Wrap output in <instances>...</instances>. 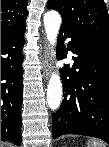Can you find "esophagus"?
Segmentation results:
<instances>
[{
  "mask_svg": "<svg viewBox=\"0 0 109 147\" xmlns=\"http://www.w3.org/2000/svg\"><path fill=\"white\" fill-rule=\"evenodd\" d=\"M51 54H50V46L46 39H44V54L42 59L43 64V76L47 80L49 78V75L51 73Z\"/></svg>",
  "mask_w": 109,
  "mask_h": 147,
  "instance_id": "esophagus-1",
  "label": "esophagus"
}]
</instances>
